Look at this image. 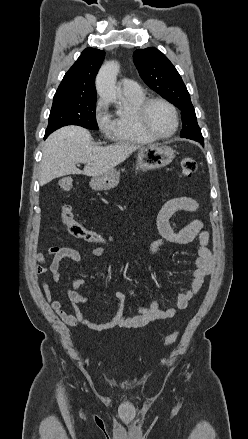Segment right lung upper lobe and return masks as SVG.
I'll use <instances>...</instances> for the list:
<instances>
[{"instance_id": "obj_1", "label": "right lung upper lobe", "mask_w": 248, "mask_h": 439, "mask_svg": "<svg viewBox=\"0 0 248 439\" xmlns=\"http://www.w3.org/2000/svg\"><path fill=\"white\" fill-rule=\"evenodd\" d=\"M105 52L86 48L65 74L54 97H96L95 77Z\"/></svg>"}]
</instances>
